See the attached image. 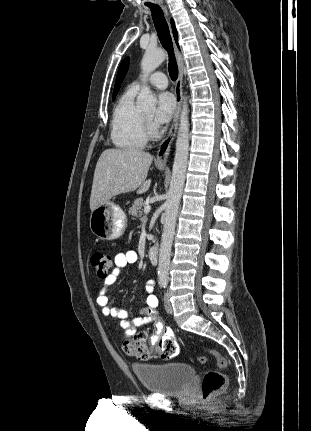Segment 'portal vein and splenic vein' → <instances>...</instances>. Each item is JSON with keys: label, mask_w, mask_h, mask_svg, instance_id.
<instances>
[{"label": "portal vein and splenic vein", "mask_w": 311, "mask_h": 431, "mask_svg": "<svg viewBox=\"0 0 311 431\" xmlns=\"http://www.w3.org/2000/svg\"><path fill=\"white\" fill-rule=\"evenodd\" d=\"M150 210H151V206H145L144 214H149Z\"/></svg>", "instance_id": "portal-vein-and-splenic-vein-1"}]
</instances>
